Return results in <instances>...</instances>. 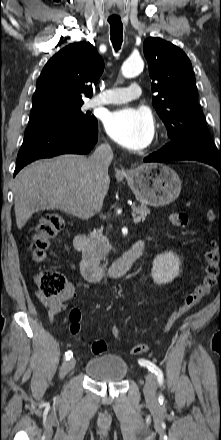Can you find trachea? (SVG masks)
I'll use <instances>...</instances> for the list:
<instances>
[{"label":"trachea","instance_id":"1","mask_svg":"<svg viewBox=\"0 0 221 440\" xmlns=\"http://www.w3.org/2000/svg\"><path fill=\"white\" fill-rule=\"evenodd\" d=\"M110 24V36L113 47L118 51L123 41V24L121 18H108Z\"/></svg>","mask_w":221,"mask_h":440}]
</instances>
